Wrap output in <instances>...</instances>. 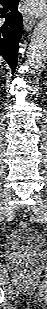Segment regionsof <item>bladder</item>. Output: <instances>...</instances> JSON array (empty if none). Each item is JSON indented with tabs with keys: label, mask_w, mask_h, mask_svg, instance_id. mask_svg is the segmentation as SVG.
I'll return each instance as SVG.
<instances>
[{
	"label": "bladder",
	"mask_w": 47,
	"mask_h": 309,
	"mask_svg": "<svg viewBox=\"0 0 47 309\" xmlns=\"http://www.w3.org/2000/svg\"><path fill=\"white\" fill-rule=\"evenodd\" d=\"M44 244V236L27 225L14 231L5 240V248L13 252L35 251L42 248Z\"/></svg>",
	"instance_id": "1"
}]
</instances>
